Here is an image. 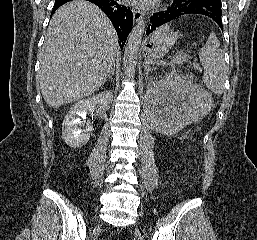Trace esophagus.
I'll use <instances>...</instances> for the list:
<instances>
[{
  "instance_id": "34e87169",
  "label": "esophagus",
  "mask_w": 257,
  "mask_h": 240,
  "mask_svg": "<svg viewBox=\"0 0 257 240\" xmlns=\"http://www.w3.org/2000/svg\"><path fill=\"white\" fill-rule=\"evenodd\" d=\"M144 17V13L140 10L133 11V19L135 22H139Z\"/></svg>"
}]
</instances>
